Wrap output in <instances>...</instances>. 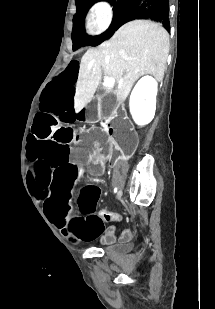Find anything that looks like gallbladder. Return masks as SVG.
Instances as JSON below:
<instances>
[{"label":"gallbladder","mask_w":215,"mask_h":309,"mask_svg":"<svg viewBox=\"0 0 215 309\" xmlns=\"http://www.w3.org/2000/svg\"><path fill=\"white\" fill-rule=\"evenodd\" d=\"M118 104V100L113 94V92H106L104 96H102L100 100V110L103 116H108V114H112L113 110H115Z\"/></svg>","instance_id":"obj_1"}]
</instances>
